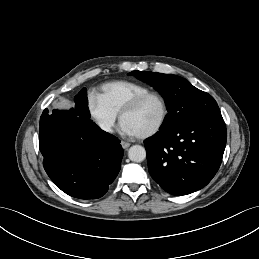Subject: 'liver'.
<instances>
[{"mask_svg": "<svg viewBox=\"0 0 259 259\" xmlns=\"http://www.w3.org/2000/svg\"><path fill=\"white\" fill-rule=\"evenodd\" d=\"M67 103H68L67 101H62V102L58 103V105L65 106Z\"/></svg>", "mask_w": 259, "mask_h": 259, "instance_id": "6515ba94", "label": "liver"}]
</instances>
